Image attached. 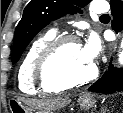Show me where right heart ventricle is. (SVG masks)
I'll use <instances>...</instances> for the list:
<instances>
[{
  "mask_svg": "<svg viewBox=\"0 0 123 113\" xmlns=\"http://www.w3.org/2000/svg\"><path fill=\"white\" fill-rule=\"evenodd\" d=\"M56 37V32L50 30L39 36L29 47L18 70L19 88L30 94H52L60 89H47L39 85L34 74L35 61L42 49Z\"/></svg>",
  "mask_w": 123,
  "mask_h": 113,
  "instance_id": "1",
  "label": "right heart ventricle"
}]
</instances>
